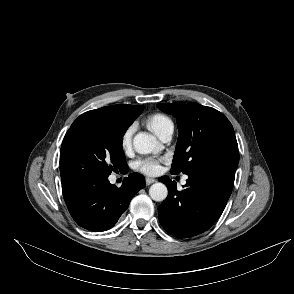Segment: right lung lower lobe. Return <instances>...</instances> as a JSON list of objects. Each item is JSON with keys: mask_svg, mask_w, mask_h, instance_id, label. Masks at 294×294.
<instances>
[{"mask_svg": "<svg viewBox=\"0 0 294 294\" xmlns=\"http://www.w3.org/2000/svg\"><path fill=\"white\" fill-rule=\"evenodd\" d=\"M145 186L142 175L132 173L117 188L108 177L72 180L62 184L63 197L72 218L90 231L112 228L129 206L132 197Z\"/></svg>", "mask_w": 294, "mask_h": 294, "instance_id": "obj_1", "label": "right lung lower lobe"}]
</instances>
